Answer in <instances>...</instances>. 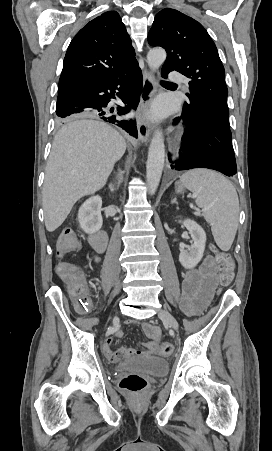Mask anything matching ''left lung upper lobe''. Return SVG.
<instances>
[{
    "instance_id": "left-lung-upper-lobe-1",
    "label": "left lung upper lobe",
    "mask_w": 272,
    "mask_h": 451,
    "mask_svg": "<svg viewBox=\"0 0 272 451\" xmlns=\"http://www.w3.org/2000/svg\"><path fill=\"white\" fill-rule=\"evenodd\" d=\"M148 43L166 50L162 69L178 71L190 79V103L184 104L182 115L208 113L229 125L225 71L205 28L193 18L166 8L156 14Z\"/></svg>"
}]
</instances>
